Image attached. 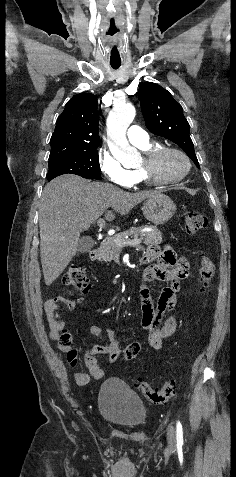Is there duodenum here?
I'll use <instances>...</instances> for the list:
<instances>
[{
	"mask_svg": "<svg viewBox=\"0 0 236 477\" xmlns=\"http://www.w3.org/2000/svg\"><path fill=\"white\" fill-rule=\"evenodd\" d=\"M99 255V247H94L91 252H90V259L91 260H96ZM142 263H144L143 258H142Z\"/></svg>",
	"mask_w": 236,
	"mask_h": 477,
	"instance_id": "1",
	"label": "duodenum"
}]
</instances>
